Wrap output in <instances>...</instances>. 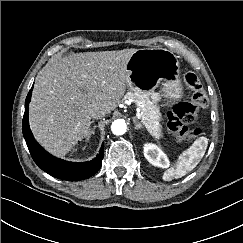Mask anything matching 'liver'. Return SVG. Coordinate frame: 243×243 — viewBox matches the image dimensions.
I'll return each instance as SVG.
<instances>
[{
  "instance_id": "liver-1",
  "label": "liver",
  "mask_w": 243,
  "mask_h": 243,
  "mask_svg": "<svg viewBox=\"0 0 243 243\" xmlns=\"http://www.w3.org/2000/svg\"><path fill=\"white\" fill-rule=\"evenodd\" d=\"M137 49L74 53L42 69L35 81L29 123L50 153L66 155L88 133L90 109L118 107L128 80L127 62Z\"/></svg>"
}]
</instances>
